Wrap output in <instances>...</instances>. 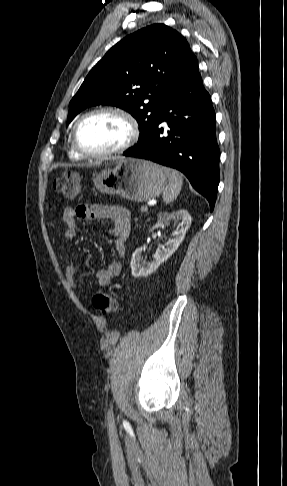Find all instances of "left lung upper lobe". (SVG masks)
Instances as JSON below:
<instances>
[{
	"label": "left lung upper lobe",
	"mask_w": 287,
	"mask_h": 486,
	"mask_svg": "<svg viewBox=\"0 0 287 486\" xmlns=\"http://www.w3.org/2000/svg\"><path fill=\"white\" fill-rule=\"evenodd\" d=\"M197 66L176 30L164 24L142 28L115 44L91 69L70 101L67 124L89 106H117L137 120L139 143L159 118L170 90Z\"/></svg>",
	"instance_id": "left-lung-upper-lobe-1"
}]
</instances>
